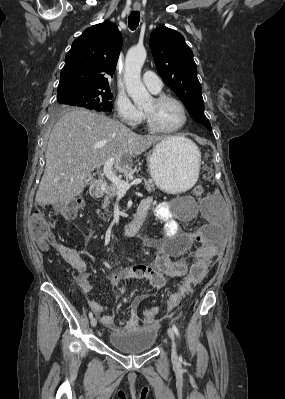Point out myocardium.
<instances>
[{
  "instance_id": "obj_1",
  "label": "myocardium",
  "mask_w": 285,
  "mask_h": 399,
  "mask_svg": "<svg viewBox=\"0 0 285 399\" xmlns=\"http://www.w3.org/2000/svg\"><path fill=\"white\" fill-rule=\"evenodd\" d=\"M153 100L156 104L163 103L167 100L173 101L176 104H178L183 113V122L179 126L174 127V128H164L157 124L153 115H151L150 113L143 110L146 125L148 126V128L150 130H152L154 132H158V133H174V132L181 130L186 125V123L188 121L187 109H186L184 103L180 99H178L177 97L170 95V94L161 93V94L154 96Z\"/></svg>"
}]
</instances>
